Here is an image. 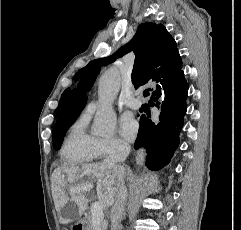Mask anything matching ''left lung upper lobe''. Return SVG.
I'll return each instance as SVG.
<instances>
[{"label":"left lung upper lobe","instance_id":"obj_1","mask_svg":"<svg viewBox=\"0 0 241 230\" xmlns=\"http://www.w3.org/2000/svg\"><path fill=\"white\" fill-rule=\"evenodd\" d=\"M98 73L99 70L91 72L87 77L81 80L78 84V88L72 91L61 118L57 120L53 128V147L56 150L60 149L68 128L76 121L83 110L87 101L85 93L93 86Z\"/></svg>","mask_w":241,"mask_h":230}]
</instances>
